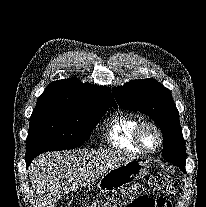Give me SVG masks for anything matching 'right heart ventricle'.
<instances>
[{"label": "right heart ventricle", "instance_id": "e07e8e85", "mask_svg": "<svg viewBox=\"0 0 206 207\" xmlns=\"http://www.w3.org/2000/svg\"><path fill=\"white\" fill-rule=\"evenodd\" d=\"M139 122L136 116L123 113L111 117L107 125L109 144L118 150L140 153L134 142V131Z\"/></svg>", "mask_w": 206, "mask_h": 207}]
</instances>
